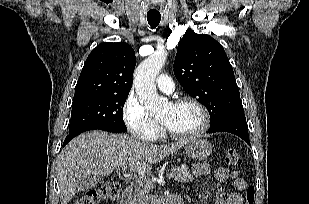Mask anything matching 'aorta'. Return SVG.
Listing matches in <instances>:
<instances>
[{"mask_svg":"<svg viewBox=\"0 0 309 204\" xmlns=\"http://www.w3.org/2000/svg\"><path fill=\"white\" fill-rule=\"evenodd\" d=\"M166 57V52H156L145 59L134 73V86L139 101L150 113L160 111L165 105V99L161 98L156 91L155 79L163 68Z\"/></svg>","mask_w":309,"mask_h":204,"instance_id":"762f6f07","label":"aorta"}]
</instances>
